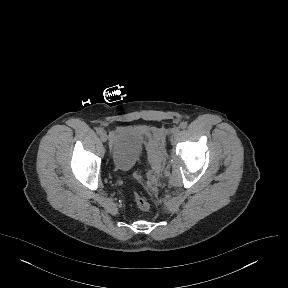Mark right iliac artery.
Returning a JSON list of instances; mask_svg holds the SVG:
<instances>
[{
  "instance_id": "obj_1",
  "label": "right iliac artery",
  "mask_w": 288,
  "mask_h": 288,
  "mask_svg": "<svg viewBox=\"0 0 288 288\" xmlns=\"http://www.w3.org/2000/svg\"><path fill=\"white\" fill-rule=\"evenodd\" d=\"M96 132H97V134H101L103 132V129L99 127L96 129Z\"/></svg>"
}]
</instances>
